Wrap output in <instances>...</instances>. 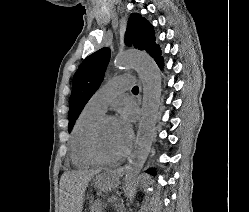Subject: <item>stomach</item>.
I'll return each mask as SVG.
<instances>
[{"mask_svg": "<svg viewBox=\"0 0 249 212\" xmlns=\"http://www.w3.org/2000/svg\"><path fill=\"white\" fill-rule=\"evenodd\" d=\"M121 179L120 175H97L94 180L95 184H118ZM106 188H112V185H106Z\"/></svg>", "mask_w": 249, "mask_h": 212, "instance_id": "0dacf381", "label": "stomach"}]
</instances>
